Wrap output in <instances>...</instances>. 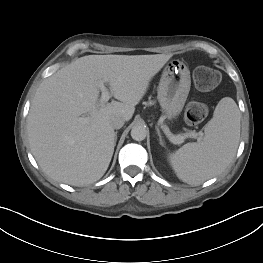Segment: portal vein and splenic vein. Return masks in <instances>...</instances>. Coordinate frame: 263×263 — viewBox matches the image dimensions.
Wrapping results in <instances>:
<instances>
[{
    "instance_id": "18ae733b",
    "label": "portal vein and splenic vein",
    "mask_w": 263,
    "mask_h": 263,
    "mask_svg": "<svg viewBox=\"0 0 263 263\" xmlns=\"http://www.w3.org/2000/svg\"><path fill=\"white\" fill-rule=\"evenodd\" d=\"M99 88L101 90V98L100 101L101 103H106L108 102V100L111 97V93L109 92V90L104 86L103 83H100ZM80 120L82 121H86V118H80ZM164 132L166 133V135L169 136V139L172 143L174 144H178V143H182L184 141L185 138L187 137H192V138H198L200 139V135L194 131L185 133L184 135H173L167 128H164Z\"/></svg>"
}]
</instances>
